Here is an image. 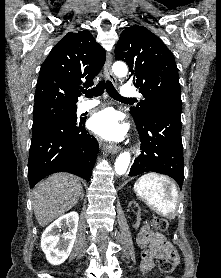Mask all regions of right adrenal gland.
Listing matches in <instances>:
<instances>
[{"label": "right adrenal gland", "mask_w": 221, "mask_h": 278, "mask_svg": "<svg viewBox=\"0 0 221 278\" xmlns=\"http://www.w3.org/2000/svg\"><path fill=\"white\" fill-rule=\"evenodd\" d=\"M83 197H84V193H82V195H81V200L83 199Z\"/></svg>", "instance_id": "1"}]
</instances>
